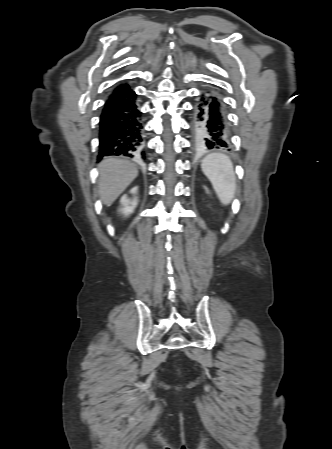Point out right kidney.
<instances>
[{
	"label": "right kidney",
	"instance_id": "ca27d5eb",
	"mask_svg": "<svg viewBox=\"0 0 332 449\" xmlns=\"http://www.w3.org/2000/svg\"><path fill=\"white\" fill-rule=\"evenodd\" d=\"M138 188L134 187L130 192L132 194H136L137 193ZM121 204L123 206V208L120 209V211L124 214V215H129L133 212L134 208L137 205V198L135 197L133 200H130L127 198L126 195H124L121 198Z\"/></svg>",
	"mask_w": 332,
	"mask_h": 449
}]
</instances>
